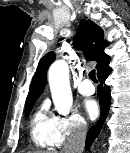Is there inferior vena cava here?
Segmentation results:
<instances>
[{
	"instance_id": "1",
	"label": "inferior vena cava",
	"mask_w": 130,
	"mask_h": 153,
	"mask_svg": "<svg viewBox=\"0 0 130 153\" xmlns=\"http://www.w3.org/2000/svg\"><path fill=\"white\" fill-rule=\"evenodd\" d=\"M87 127L84 123H78L71 131L70 135L66 138L62 153H82Z\"/></svg>"
}]
</instances>
